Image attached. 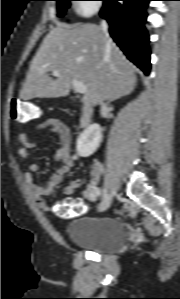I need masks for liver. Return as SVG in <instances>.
<instances>
[{
  "label": "liver",
  "instance_id": "1",
  "mask_svg": "<svg viewBox=\"0 0 180 299\" xmlns=\"http://www.w3.org/2000/svg\"><path fill=\"white\" fill-rule=\"evenodd\" d=\"M59 71L55 79L49 72ZM76 79L87 87L83 103L96 106L129 95L135 67L97 25L57 23L44 38L23 83L20 98H57L69 94Z\"/></svg>",
  "mask_w": 180,
  "mask_h": 299
}]
</instances>
